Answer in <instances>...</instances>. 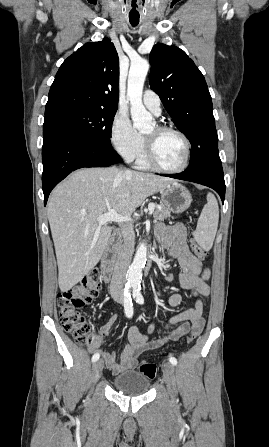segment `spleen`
<instances>
[{
  "instance_id": "3e777b00",
  "label": "spleen",
  "mask_w": 269,
  "mask_h": 447,
  "mask_svg": "<svg viewBox=\"0 0 269 447\" xmlns=\"http://www.w3.org/2000/svg\"><path fill=\"white\" fill-rule=\"evenodd\" d=\"M219 222L218 202L214 194H207V204L204 206L201 216L197 222V227L193 233L194 239L203 247L205 251H209L215 239Z\"/></svg>"
}]
</instances>
